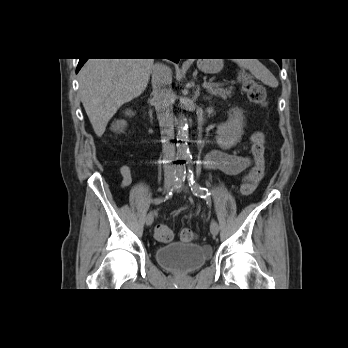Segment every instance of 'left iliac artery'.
I'll return each instance as SVG.
<instances>
[{
  "mask_svg": "<svg viewBox=\"0 0 348 348\" xmlns=\"http://www.w3.org/2000/svg\"><path fill=\"white\" fill-rule=\"evenodd\" d=\"M187 178L189 181V186L191 187L193 194L196 196L204 198V195H213L212 190L202 187L196 182L193 171L190 169L187 173ZM215 194H220V189H215Z\"/></svg>",
  "mask_w": 348,
  "mask_h": 348,
  "instance_id": "1",
  "label": "left iliac artery"
}]
</instances>
